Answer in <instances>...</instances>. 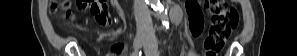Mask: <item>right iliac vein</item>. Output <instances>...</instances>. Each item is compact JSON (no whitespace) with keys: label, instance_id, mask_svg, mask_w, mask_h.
Returning a JSON list of instances; mask_svg holds the SVG:
<instances>
[{"label":"right iliac vein","instance_id":"right-iliac-vein-1","mask_svg":"<svg viewBox=\"0 0 297 56\" xmlns=\"http://www.w3.org/2000/svg\"><path fill=\"white\" fill-rule=\"evenodd\" d=\"M148 43V39L145 36H138L134 41V49L139 50L142 46Z\"/></svg>","mask_w":297,"mask_h":56}]
</instances>
